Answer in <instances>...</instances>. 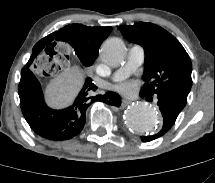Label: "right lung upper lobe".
Instances as JSON below:
<instances>
[{
	"instance_id": "cb5924a9",
	"label": "right lung upper lobe",
	"mask_w": 215,
	"mask_h": 183,
	"mask_svg": "<svg viewBox=\"0 0 215 183\" xmlns=\"http://www.w3.org/2000/svg\"><path fill=\"white\" fill-rule=\"evenodd\" d=\"M111 31V27H87L81 24L68 25L39 41L34 46L32 54L37 56L41 50L52 48L56 41H67L71 34L78 33L85 51L96 58L98 48Z\"/></svg>"
}]
</instances>
